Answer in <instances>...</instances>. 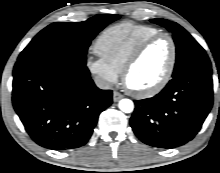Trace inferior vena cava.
<instances>
[{"label": "inferior vena cava", "mask_w": 220, "mask_h": 173, "mask_svg": "<svg viewBox=\"0 0 220 173\" xmlns=\"http://www.w3.org/2000/svg\"><path fill=\"white\" fill-rule=\"evenodd\" d=\"M94 82H95V85L100 89H111L112 88V84L108 80L100 76H96L94 78Z\"/></svg>", "instance_id": "602c4592"}]
</instances>
